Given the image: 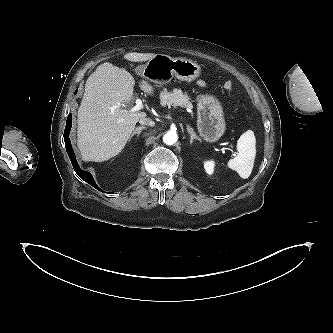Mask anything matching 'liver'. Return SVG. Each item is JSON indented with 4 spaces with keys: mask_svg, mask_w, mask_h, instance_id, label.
Segmentation results:
<instances>
[{
    "mask_svg": "<svg viewBox=\"0 0 333 333\" xmlns=\"http://www.w3.org/2000/svg\"><path fill=\"white\" fill-rule=\"evenodd\" d=\"M152 53H128L124 59L145 62ZM135 80L124 68L105 62L89 76L78 109V147L85 161L102 162L118 155L125 147L136 123L145 112L121 108L133 98ZM145 93L152 95L153 87L145 80L139 82ZM116 107V108H115Z\"/></svg>",
    "mask_w": 333,
    "mask_h": 333,
    "instance_id": "liver-1",
    "label": "liver"
}]
</instances>
